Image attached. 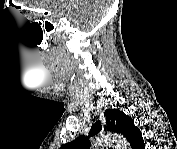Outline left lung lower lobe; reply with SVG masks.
I'll list each match as a JSON object with an SVG mask.
<instances>
[{
    "instance_id": "0a47b994",
    "label": "left lung lower lobe",
    "mask_w": 177,
    "mask_h": 149,
    "mask_svg": "<svg viewBox=\"0 0 177 149\" xmlns=\"http://www.w3.org/2000/svg\"><path fill=\"white\" fill-rule=\"evenodd\" d=\"M144 142H141L140 148H144Z\"/></svg>"
}]
</instances>
